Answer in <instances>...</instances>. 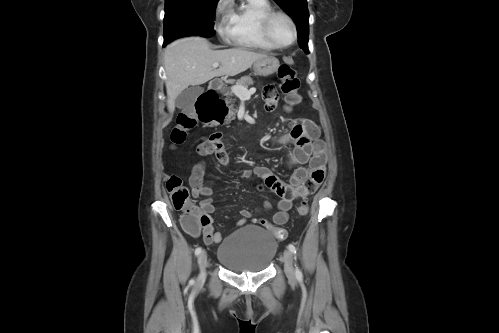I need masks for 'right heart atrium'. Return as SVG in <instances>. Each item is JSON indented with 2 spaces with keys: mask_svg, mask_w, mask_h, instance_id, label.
<instances>
[{
  "mask_svg": "<svg viewBox=\"0 0 499 333\" xmlns=\"http://www.w3.org/2000/svg\"><path fill=\"white\" fill-rule=\"evenodd\" d=\"M229 6L226 0H219L214 10V25L222 39H229Z\"/></svg>",
  "mask_w": 499,
  "mask_h": 333,
  "instance_id": "obj_1",
  "label": "right heart atrium"
}]
</instances>
